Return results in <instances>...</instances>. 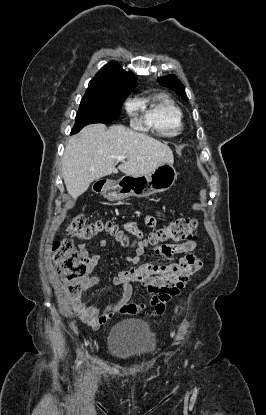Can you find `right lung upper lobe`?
I'll return each instance as SVG.
<instances>
[{"label": "right lung upper lobe", "mask_w": 266, "mask_h": 415, "mask_svg": "<svg viewBox=\"0 0 266 415\" xmlns=\"http://www.w3.org/2000/svg\"><path fill=\"white\" fill-rule=\"evenodd\" d=\"M136 85L133 73L126 72L115 61L109 62L89 82L84 96L109 97L129 94Z\"/></svg>", "instance_id": "cb5924a9"}]
</instances>
